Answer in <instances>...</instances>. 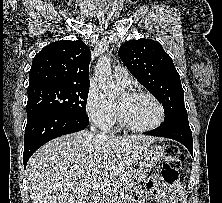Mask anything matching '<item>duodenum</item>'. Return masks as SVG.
<instances>
[{"label":"duodenum","mask_w":222,"mask_h":203,"mask_svg":"<svg viewBox=\"0 0 222 203\" xmlns=\"http://www.w3.org/2000/svg\"><path fill=\"white\" fill-rule=\"evenodd\" d=\"M96 197L95 196H92L89 200V203H96Z\"/></svg>","instance_id":"410a0bca"}]
</instances>
